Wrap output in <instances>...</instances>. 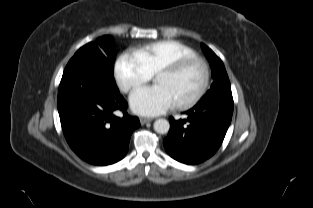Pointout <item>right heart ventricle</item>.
<instances>
[{
	"label": "right heart ventricle",
	"instance_id": "e07e8e85",
	"mask_svg": "<svg viewBox=\"0 0 313 208\" xmlns=\"http://www.w3.org/2000/svg\"><path fill=\"white\" fill-rule=\"evenodd\" d=\"M147 70L155 74L161 67L175 60L195 56L196 52L177 40H160L141 46L135 50Z\"/></svg>",
	"mask_w": 313,
	"mask_h": 208
}]
</instances>
